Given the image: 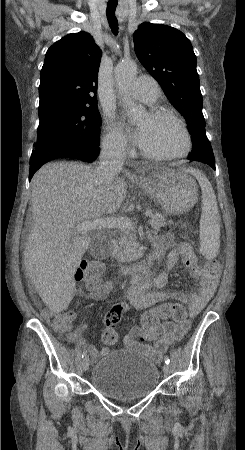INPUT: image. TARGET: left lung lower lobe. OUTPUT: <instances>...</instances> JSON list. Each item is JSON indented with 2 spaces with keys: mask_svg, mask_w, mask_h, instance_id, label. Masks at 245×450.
Segmentation results:
<instances>
[{
  "mask_svg": "<svg viewBox=\"0 0 245 450\" xmlns=\"http://www.w3.org/2000/svg\"><path fill=\"white\" fill-rule=\"evenodd\" d=\"M197 148H198V151H200V154L188 156V159L206 163L209 166H211L213 169H215V158H214L212 149L210 147L205 148L204 146H201V148H199V146H198Z\"/></svg>",
  "mask_w": 245,
  "mask_h": 450,
  "instance_id": "1",
  "label": "left lung lower lobe"
}]
</instances>
